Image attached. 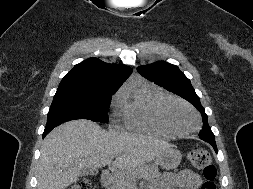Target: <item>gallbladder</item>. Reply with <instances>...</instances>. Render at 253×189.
<instances>
[{"instance_id": "gallbladder-1", "label": "gallbladder", "mask_w": 253, "mask_h": 189, "mask_svg": "<svg viewBox=\"0 0 253 189\" xmlns=\"http://www.w3.org/2000/svg\"><path fill=\"white\" fill-rule=\"evenodd\" d=\"M97 174V170L96 169H90V168H86L84 167L81 172L80 175L81 176H85V175H96Z\"/></svg>"}]
</instances>
